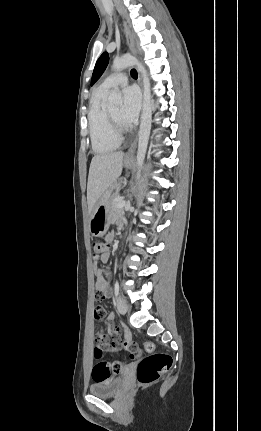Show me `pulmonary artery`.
<instances>
[{
    "instance_id": "e3ab8cb5",
    "label": "pulmonary artery",
    "mask_w": 261,
    "mask_h": 431,
    "mask_svg": "<svg viewBox=\"0 0 261 431\" xmlns=\"http://www.w3.org/2000/svg\"><path fill=\"white\" fill-rule=\"evenodd\" d=\"M128 77L125 73H115L106 77L99 88L102 90H109L112 87L123 86L127 83Z\"/></svg>"
}]
</instances>
